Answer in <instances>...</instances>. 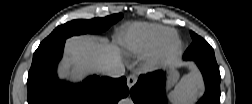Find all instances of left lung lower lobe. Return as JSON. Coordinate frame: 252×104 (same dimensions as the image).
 <instances>
[{"label": "left lung lower lobe", "mask_w": 252, "mask_h": 104, "mask_svg": "<svg viewBox=\"0 0 252 104\" xmlns=\"http://www.w3.org/2000/svg\"><path fill=\"white\" fill-rule=\"evenodd\" d=\"M184 60H186L184 58ZM200 69L204 82L205 93L197 104L220 103V71L216 60H192ZM166 73L156 71L141 75L131 88L130 95L135 104H166L165 94Z\"/></svg>", "instance_id": "obj_1"}]
</instances>
